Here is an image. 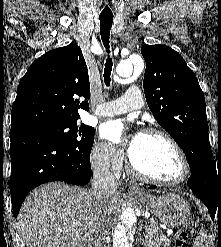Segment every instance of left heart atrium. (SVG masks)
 Instances as JSON below:
<instances>
[{
  "label": "left heart atrium",
  "instance_id": "39dd6f15",
  "mask_svg": "<svg viewBox=\"0 0 221 247\" xmlns=\"http://www.w3.org/2000/svg\"><path fill=\"white\" fill-rule=\"evenodd\" d=\"M137 134L125 136V126L121 120L109 121L105 123L100 130L101 138L113 144L122 143L126 145L129 151L133 146L134 139Z\"/></svg>",
  "mask_w": 221,
  "mask_h": 247
}]
</instances>
